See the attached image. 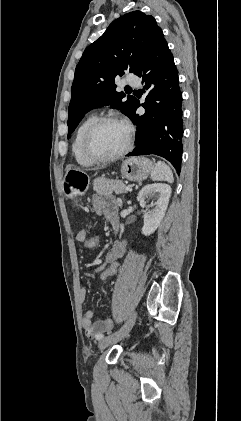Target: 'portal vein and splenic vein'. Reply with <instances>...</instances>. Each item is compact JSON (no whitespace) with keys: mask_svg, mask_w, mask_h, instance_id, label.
Masks as SVG:
<instances>
[{"mask_svg":"<svg viewBox=\"0 0 241 421\" xmlns=\"http://www.w3.org/2000/svg\"><path fill=\"white\" fill-rule=\"evenodd\" d=\"M125 190H127V191H132V188H131V187H129V186H126V187H125Z\"/></svg>","mask_w":241,"mask_h":421,"instance_id":"portal-vein-and-splenic-vein-1","label":"portal vein and splenic vein"}]
</instances>
